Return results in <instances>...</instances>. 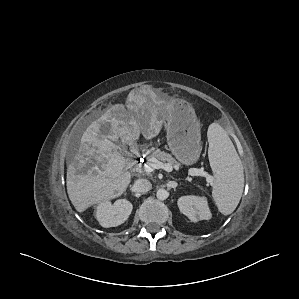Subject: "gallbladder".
I'll return each mask as SVG.
<instances>
[{"label": "gallbladder", "instance_id": "bac80fb5", "mask_svg": "<svg viewBox=\"0 0 299 299\" xmlns=\"http://www.w3.org/2000/svg\"><path fill=\"white\" fill-rule=\"evenodd\" d=\"M100 131L104 135L111 134V126H110V124H104V125H102L101 128H100ZM119 149H120V151H125V148H124V146L122 144L119 146Z\"/></svg>", "mask_w": 299, "mask_h": 299}]
</instances>
